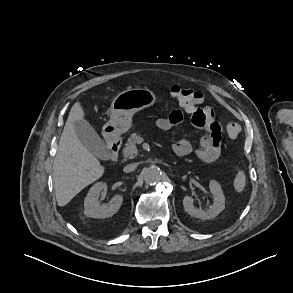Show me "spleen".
Listing matches in <instances>:
<instances>
[{
    "instance_id": "3e777b00",
    "label": "spleen",
    "mask_w": 293,
    "mask_h": 293,
    "mask_svg": "<svg viewBox=\"0 0 293 293\" xmlns=\"http://www.w3.org/2000/svg\"><path fill=\"white\" fill-rule=\"evenodd\" d=\"M234 188L238 193H241L246 186V175L243 170H239L233 182Z\"/></svg>"
}]
</instances>
